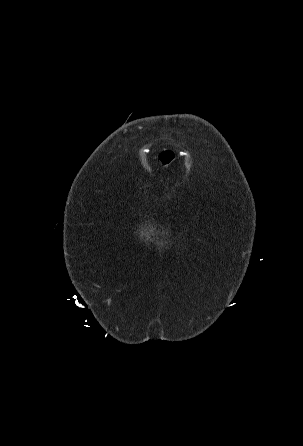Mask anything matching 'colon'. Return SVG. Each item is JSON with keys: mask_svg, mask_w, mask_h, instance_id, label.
Returning <instances> with one entry per match:
<instances>
[{"mask_svg": "<svg viewBox=\"0 0 303 446\" xmlns=\"http://www.w3.org/2000/svg\"><path fill=\"white\" fill-rule=\"evenodd\" d=\"M174 160V153L171 151L162 152L160 154V162L163 167L167 166Z\"/></svg>", "mask_w": 303, "mask_h": 446, "instance_id": "obj_1", "label": "colon"}]
</instances>
